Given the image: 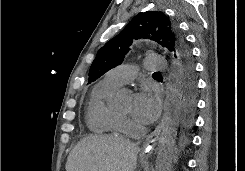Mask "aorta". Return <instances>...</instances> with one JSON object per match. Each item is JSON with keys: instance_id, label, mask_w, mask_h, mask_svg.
<instances>
[{"instance_id": "1", "label": "aorta", "mask_w": 245, "mask_h": 171, "mask_svg": "<svg viewBox=\"0 0 245 171\" xmlns=\"http://www.w3.org/2000/svg\"><path fill=\"white\" fill-rule=\"evenodd\" d=\"M128 98V93L121 91L114 101L115 106L122 107ZM183 105V92L180 88L175 70L167 77V96L164 115L161 122V134L158 144L155 171H171L176 142L177 126L180 110Z\"/></svg>"}]
</instances>
